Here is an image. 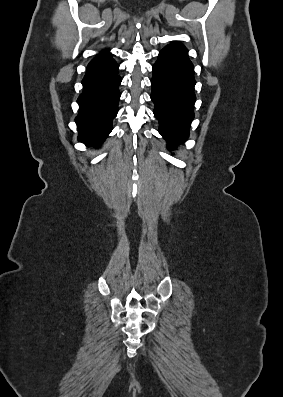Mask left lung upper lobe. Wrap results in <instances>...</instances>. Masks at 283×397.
Returning <instances> with one entry per match:
<instances>
[{"label":"left lung upper lobe","instance_id":"1","mask_svg":"<svg viewBox=\"0 0 283 397\" xmlns=\"http://www.w3.org/2000/svg\"><path fill=\"white\" fill-rule=\"evenodd\" d=\"M171 45L177 47L178 49H180L181 51H183L185 53H188V50L182 44H180L178 42H173V43H171Z\"/></svg>","mask_w":283,"mask_h":397}]
</instances>
